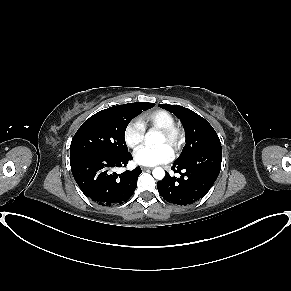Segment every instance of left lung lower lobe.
I'll list each match as a JSON object with an SVG mask.
<instances>
[{"label":"left lung lower lobe","mask_w":291,"mask_h":291,"mask_svg":"<svg viewBox=\"0 0 291 291\" xmlns=\"http://www.w3.org/2000/svg\"><path fill=\"white\" fill-rule=\"evenodd\" d=\"M222 161V149H210L173 163L172 170L180 176H170L157 182L159 194L177 205H188L205 196L216 181Z\"/></svg>","instance_id":"left-lung-lower-lobe-1"}]
</instances>
